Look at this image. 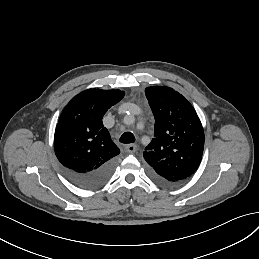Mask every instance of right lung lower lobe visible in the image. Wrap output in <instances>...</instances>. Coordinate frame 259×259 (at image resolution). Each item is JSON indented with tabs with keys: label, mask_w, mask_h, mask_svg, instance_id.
Instances as JSON below:
<instances>
[{
	"label": "right lung lower lobe",
	"mask_w": 259,
	"mask_h": 259,
	"mask_svg": "<svg viewBox=\"0 0 259 259\" xmlns=\"http://www.w3.org/2000/svg\"><path fill=\"white\" fill-rule=\"evenodd\" d=\"M115 166L116 158H113L91 171L77 172L64 167L63 173L72 183L79 187L95 188L105 183L111 177Z\"/></svg>",
	"instance_id": "right-lung-lower-lobe-1"
}]
</instances>
